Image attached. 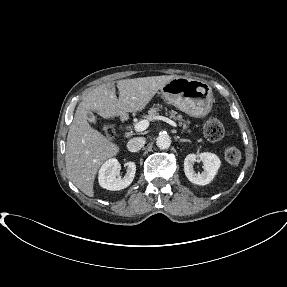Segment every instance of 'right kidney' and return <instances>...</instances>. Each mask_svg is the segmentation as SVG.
<instances>
[{
	"label": "right kidney",
	"instance_id": "1",
	"mask_svg": "<svg viewBox=\"0 0 287 287\" xmlns=\"http://www.w3.org/2000/svg\"><path fill=\"white\" fill-rule=\"evenodd\" d=\"M126 166L127 172L123 178H120L117 177L120 167L118 160L115 158L107 160L99 170L98 180L100 186L111 191L122 190L128 187L135 177L136 164L127 162Z\"/></svg>",
	"mask_w": 287,
	"mask_h": 287
}]
</instances>
